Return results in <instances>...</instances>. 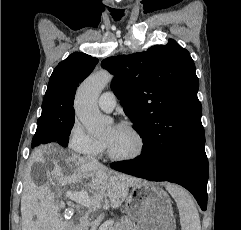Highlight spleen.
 Returning a JSON list of instances; mask_svg holds the SVG:
<instances>
[{
  "label": "spleen",
  "mask_w": 241,
  "mask_h": 230,
  "mask_svg": "<svg viewBox=\"0 0 241 230\" xmlns=\"http://www.w3.org/2000/svg\"><path fill=\"white\" fill-rule=\"evenodd\" d=\"M166 189L177 204L181 229L201 230L198 210L191 195L177 185L167 184Z\"/></svg>",
  "instance_id": "3e777b00"
}]
</instances>
